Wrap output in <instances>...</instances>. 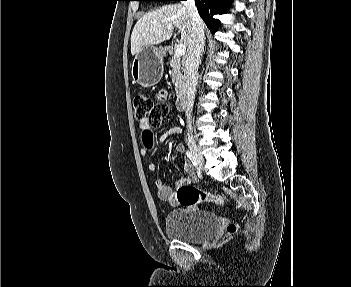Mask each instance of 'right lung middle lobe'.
Returning <instances> with one entry per match:
<instances>
[{
  "label": "right lung middle lobe",
  "mask_w": 351,
  "mask_h": 287,
  "mask_svg": "<svg viewBox=\"0 0 351 287\" xmlns=\"http://www.w3.org/2000/svg\"><path fill=\"white\" fill-rule=\"evenodd\" d=\"M137 1H172V0H137Z\"/></svg>",
  "instance_id": "obj_1"
}]
</instances>
